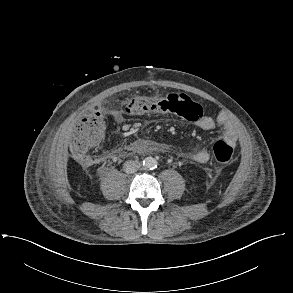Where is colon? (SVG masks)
Masks as SVG:
<instances>
[{
    "instance_id": "5ec220e1",
    "label": "colon",
    "mask_w": 293,
    "mask_h": 293,
    "mask_svg": "<svg viewBox=\"0 0 293 293\" xmlns=\"http://www.w3.org/2000/svg\"><path fill=\"white\" fill-rule=\"evenodd\" d=\"M127 116H142L150 114H174L187 120H198L203 113L200 105L182 93L170 94L160 99L137 96L129 99L122 108ZM105 128L102 113L96 112L85 117L75 132L72 151L78 157L99 144ZM213 152L216 160L222 164H229L233 160L234 149L224 140L214 143Z\"/></svg>"
}]
</instances>
